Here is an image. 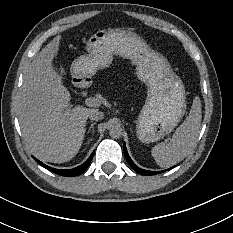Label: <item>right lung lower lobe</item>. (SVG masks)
Listing matches in <instances>:
<instances>
[{"label":"right lung lower lobe","mask_w":233,"mask_h":233,"mask_svg":"<svg viewBox=\"0 0 233 233\" xmlns=\"http://www.w3.org/2000/svg\"><path fill=\"white\" fill-rule=\"evenodd\" d=\"M93 155H94V152L90 155V157L80 166L74 168V169H69V170H61V169H54V168H51L45 164H43L42 162H40L39 160H37L36 158H34L38 163H40L42 166H44L45 168H47L48 170L56 173V174H59V175H62V176H67V177H73V176H77L81 173H83L86 168L88 167V165L90 164L92 158H93Z\"/></svg>","instance_id":"obj_1"}]
</instances>
